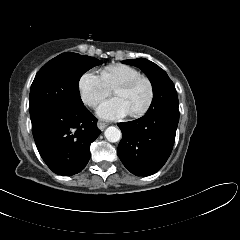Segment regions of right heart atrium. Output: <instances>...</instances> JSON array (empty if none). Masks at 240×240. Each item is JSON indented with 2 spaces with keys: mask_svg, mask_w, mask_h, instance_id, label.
I'll use <instances>...</instances> for the list:
<instances>
[{
  "mask_svg": "<svg viewBox=\"0 0 240 240\" xmlns=\"http://www.w3.org/2000/svg\"><path fill=\"white\" fill-rule=\"evenodd\" d=\"M78 90L83 103L92 108L108 97L112 91L102 77L94 72H85L81 75Z\"/></svg>",
  "mask_w": 240,
  "mask_h": 240,
  "instance_id": "d8ad5b80",
  "label": "right heart atrium"
}]
</instances>
